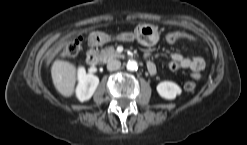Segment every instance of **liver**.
Listing matches in <instances>:
<instances>
[{"label":"liver","mask_w":247,"mask_h":145,"mask_svg":"<svg viewBox=\"0 0 247 145\" xmlns=\"http://www.w3.org/2000/svg\"><path fill=\"white\" fill-rule=\"evenodd\" d=\"M51 76L56 90L64 97H71L76 84V67L74 64L56 59L51 67Z\"/></svg>","instance_id":"obj_1"}]
</instances>
